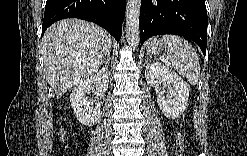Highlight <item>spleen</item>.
Wrapping results in <instances>:
<instances>
[{"label":"spleen","instance_id":"3e777b00","mask_svg":"<svg viewBox=\"0 0 247 156\" xmlns=\"http://www.w3.org/2000/svg\"><path fill=\"white\" fill-rule=\"evenodd\" d=\"M162 39L168 45L167 60L191 85H196L201 68L195 49L187 40L177 35H166Z\"/></svg>","mask_w":247,"mask_h":156}]
</instances>
